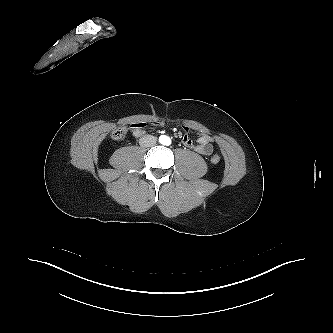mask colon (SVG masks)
Returning a JSON list of instances; mask_svg holds the SVG:
<instances>
[{
  "instance_id": "colon-1",
  "label": "colon",
  "mask_w": 333,
  "mask_h": 333,
  "mask_svg": "<svg viewBox=\"0 0 333 333\" xmlns=\"http://www.w3.org/2000/svg\"><path fill=\"white\" fill-rule=\"evenodd\" d=\"M127 135V129L125 127H119L112 133V137L115 140H121ZM221 160L219 154L215 153L211 156L210 161L212 164H218Z\"/></svg>"
}]
</instances>
